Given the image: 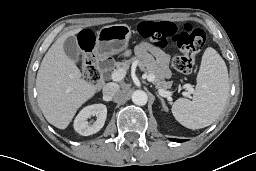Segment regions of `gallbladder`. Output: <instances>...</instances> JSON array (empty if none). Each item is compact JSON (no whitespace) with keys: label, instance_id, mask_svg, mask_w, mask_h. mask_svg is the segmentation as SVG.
<instances>
[{"label":"gallbladder","instance_id":"bac80fb5","mask_svg":"<svg viewBox=\"0 0 256 171\" xmlns=\"http://www.w3.org/2000/svg\"><path fill=\"white\" fill-rule=\"evenodd\" d=\"M63 49L66 55L74 62L79 61L80 56V48L78 46L77 40L75 36L68 37L64 44Z\"/></svg>","mask_w":256,"mask_h":171}]
</instances>
